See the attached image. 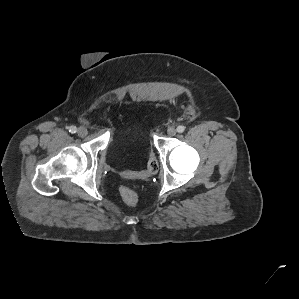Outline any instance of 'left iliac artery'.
<instances>
[{
    "mask_svg": "<svg viewBox=\"0 0 299 299\" xmlns=\"http://www.w3.org/2000/svg\"><path fill=\"white\" fill-rule=\"evenodd\" d=\"M184 130H185V127H184L183 125H179V126L177 127V131H178L179 133H183Z\"/></svg>",
    "mask_w": 299,
    "mask_h": 299,
    "instance_id": "1",
    "label": "left iliac artery"
}]
</instances>
